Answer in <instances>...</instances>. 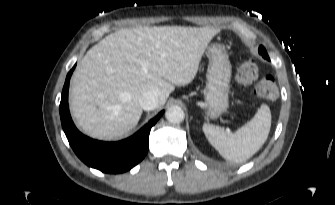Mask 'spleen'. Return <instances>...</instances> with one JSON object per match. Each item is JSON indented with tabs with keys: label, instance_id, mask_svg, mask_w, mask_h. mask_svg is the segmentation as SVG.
Returning a JSON list of instances; mask_svg holds the SVG:
<instances>
[{
	"label": "spleen",
	"instance_id": "obj_1",
	"mask_svg": "<svg viewBox=\"0 0 335 205\" xmlns=\"http://www.w3.org/2000/svg\"><path fill=\"white\" fill-rule=\"evenodd\" d=\"M271 128V112L262 104L254 117L233 134L221 127L203 125V132L211 145L226 160L244 162L260 150L266 142Z\"/></svg>",
	"mask_w": 335,
	"mask_h": 205
}]
</instances>
